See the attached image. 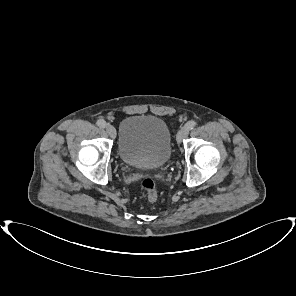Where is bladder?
<instances>
[{"instance_id":"bladder-1","label":"bladder","mask_w":296,"mask_h":296,"mask_svg":"<svg viewBox=\"0 0 296 296\" xmlns=\"http://www.w3.org/2000/svg\"><path fill=\"white\" fill-rule=\"evenodd\" d=\"M118 154L122 162L131 167H162L171 155V134L167 124L155 116L126 117L119 127Z\"/></svg>"}]
</instances>
